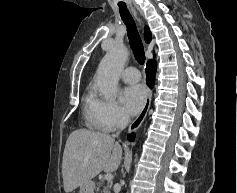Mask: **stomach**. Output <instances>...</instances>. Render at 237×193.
Here are the masks:
<instances>
[{
	"mask_svg": "<svg viewBox=\"0 0 237 193\" xmlns=\"http://www.w3.org/2000/svg\"><path fill=\"white\" fill-rule=\"evenodd\" d=\"M95 184L92 181L86 182L80 186L79 193H94Z\"/></svg>",
	"mask_w": 237,
	"mask_h": 193,
	"instance_id": "obj_1",
	"label": "stomach"
}]
</instances>
